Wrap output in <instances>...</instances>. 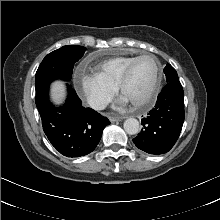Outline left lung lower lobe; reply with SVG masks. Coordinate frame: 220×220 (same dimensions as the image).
<instances>
[{"label":"left lung lower lobe","instance_id":"0a47b994","mask_svg":"<svg viewBox=\"0 0 220 220\" xmlns=\"http://www.w3.org/2000/svg\"><path fill=\"white\" fill-rule=\"evenodd\" d=\"M141 120L143 128L134 144L149 154L168 152L176 143L184 122V92L179 80L168 82L155 107Z\"/></svg>","mask_w":220,"mask_h":220}]
</instances>
